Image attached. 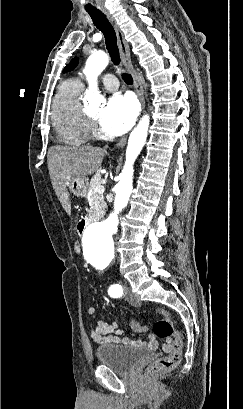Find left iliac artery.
Returning a JSON list of instances; mask_svg holds the SVG:
<instances>
[{"label":"left iliac artery","mask_w":243,"mask_h":409,"mask_svg":"<svg viewBox=\"0 0 243 409\" xmlns=\"http://www.w3.org/2000/svg\"><path fill=\"white\" fill-rule=\"evenodd\" d=\"M108 293L111 297H120L123 293V290L119 284H113L110 286Z\"/></svg>","instance_id":"44dca946"}]
</instances>
